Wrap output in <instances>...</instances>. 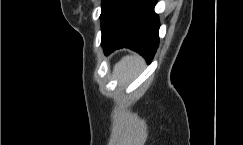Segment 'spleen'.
<instances>
[{"label":"spleen","mask_w":243,"mask_h":145,"mask_svg":"<svg viewBox=\"0 0 243 145\" xmlns=\"http://www.w3.org/2000/svg\"><path fill=\"white\" fill-rule=\"evenodd\" d=\"M143 66L144 61L139 55H128L114 66L113 76L118 78L120 82L129 81L138 75Z\"/></svg>","instance_id":"obj_1"}]
</instances>
